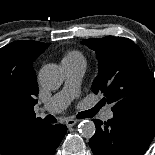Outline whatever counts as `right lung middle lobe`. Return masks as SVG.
I'll return each mask as SVG.
<instances>
[{
    "label": "right lung middle lobe",
    "mask_w": 155,
    "mask_h": 155,
    "mask_svg": "<svg viewBox=\"0 0 155 155\" xmlns=\"http://www.w3.org/2000/svg\"><path fill=\"white\" fill-rule=\"evenodd\" d=\"M13 117L8 97L0 93V130H8L13 126Z\"/></svg>",
    "instance_id": "1"
}]
</instances>
